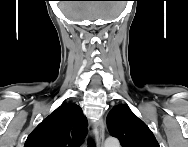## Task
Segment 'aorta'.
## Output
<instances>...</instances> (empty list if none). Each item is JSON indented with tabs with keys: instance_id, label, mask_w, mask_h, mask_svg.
Returning <instances> with one entry per match:
<instances>
[{
	"instance_id": "aorta-1",
	"label": "aorta",
	"mask_w": 188,
	"mask_h": 147,
	"mask_svg": "<svg viewBox=\"0 0 188 147\" xmlns=\"http://www.w3.org/2000/svg\"><path fill=\"white\" fill-rule=\"evenodd\" d=\"M119 146H120V143L118 139L114 137H109L105 141V147H119Z\"/></svg>"
}]
</instances>
